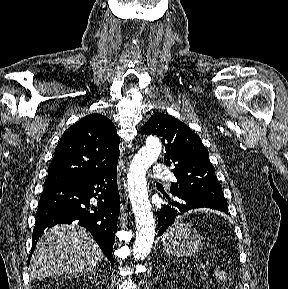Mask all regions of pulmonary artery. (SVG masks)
Segmentation results:
<instances>
[{"label":"pulmonary artery","instance_id":"obj_1","mask_svg":"<svg viewBox=\"0 0 288 289\" xmlns=\"http://www.w3.org/2000/svg\"><path fill=\"white\" fill-rule=\"evenodd\" d=\"M154 175H155V177H157L159 179L171 180V181L174 180V177L172 176L171 172L161 164L155 165Z\"/></svg>","mask_w":288,"mask_h":289}]
</instances>
